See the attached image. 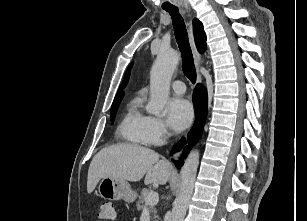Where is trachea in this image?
Returning <instances> with one entry per match:
<instances>
[{"label": "trachea", "instance_id": "trachea-1", "mask_svg": "<svg viewBox=\"0 0 307 221\" xmlns=\"http://www.w3.org/2000/svg\"><path fill=\"white\" fill-rule=\"evenodd\" d=\"M166 11L169 12L172 17L176 41L182 56L184 74L194 84L196 82V70L184 20L177 8L168 9Z\"/></svg>", "mask_w": 307, "mask_h": 221}]
</instances>
